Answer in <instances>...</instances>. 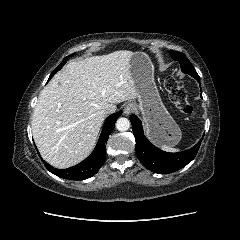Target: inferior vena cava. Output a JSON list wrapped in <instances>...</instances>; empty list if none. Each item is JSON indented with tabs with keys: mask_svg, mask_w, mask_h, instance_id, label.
I'll return each instance as SVG.
<instances>
[{
	"mask_svg": "<svg viewBox=\"0 0 240 240\" xmlns=\"http://www.w3.org/2000/svg\"><path fill=\"white\" fill-rule=\"evenodd\" d=\"M111 112H113L112 110H109V109H104V110H102V113H104V114H108V113H111Z\"/></svg>",
	"mask_w": 240,
	"mask_h": 240,
	"instance_id": "1",
	"label": "inferior vena cava"
}]
</instances>
